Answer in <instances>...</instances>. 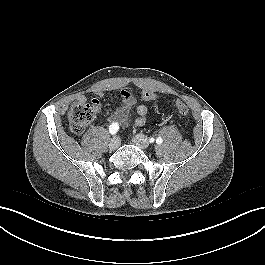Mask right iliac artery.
Returning a JSON list of instances; mask_svg holds the SVG:
<instances>
[{
	"mask_svg": "<svg viewBox=\"0 0 265 265\" xmlns=\"http://www.w3.org/2000/svg\"><path fill=\"white\" fill-rule=\"evenodd\" d=\"M119 130V124L118 123H112L110 126H109V132L114 135L118 132Z\"/></svg>",
	"mask_w": 265,
	"mask_h": 265,
	"instance_id": "1",
	"label": "right iliac artery"
}]
</instances>
